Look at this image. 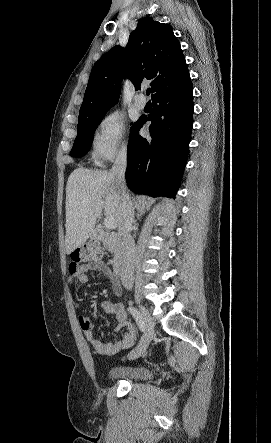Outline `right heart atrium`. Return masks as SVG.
I'll return each mask as SVG.
<instances>
[{
	"label": "right heart atrium",
	"instance_id": "obj_1",
	"mask_svg": "<svg viewBox=\"0 0 271 443\" xmlns=\"http://www.w3.org/2000/svg\"><path fill=\"white\" fill-rule=\"evenodd\" d=\"M126 119L118 112L105 114L97 123L91 138L92 159L101 164L125 153L129 147Z\"/></svg>",
	"mask_w": 271,
	"mask_h": 443
}]
</instances>
